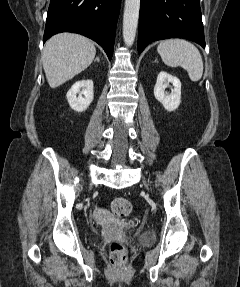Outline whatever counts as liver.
<instances>
[{
	"label": "liver",
	"mask_w": 240,
	"mask_h": 287,
	"mask_svg": "<svg viewBox=\"0 0 240 287\" xmlns=\"http://www.w3.org/2000/svg\"><path fill=\"white\" fill-rule=\"evenodd\" d=\"M93 42L78 34L60 33L45 44L42 54L44 72L51 88H56L84 71L93 61Z\"/></svg>",
	"instance_id": "6515ba94"
}]
</instances>
